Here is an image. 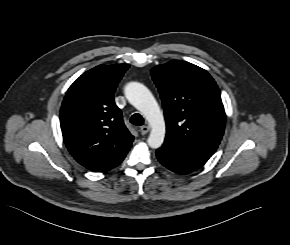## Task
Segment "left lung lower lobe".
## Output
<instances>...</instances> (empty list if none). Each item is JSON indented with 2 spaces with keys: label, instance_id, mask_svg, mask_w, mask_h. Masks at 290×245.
Segmentation results:
<instances>
[{
  "label": "left lung lower lobe",
  "instance_id": "1",
  "mask_svg": "<svg viewBox=\"0 0 290 245\" xmlns=\"http://www.w3.org/2000/svg\"><path fill=\"white\" fill-rule=\"evenodd\" d=\"M156 156L162 165L178 174L195 171L207 162L206 159L183 153L164 144L156 151Z\"/></svg>",
  "mask_w": 290,
  "mask_h": 245
}]
</instances>
